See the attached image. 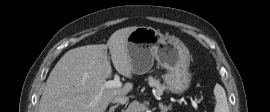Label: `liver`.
<instances>
[{"label":"liver","mask_w":270,"mask_h":112,"mask_svg":"<svg viewBox=\"0 0 270 112\" xmlns=\"http://www.w3.org/2000/svg\"><path fill=\"white\" fill-rule=\"evenodd\" d=\"M137 27L115 31L107 44L86 45L66 52L51 71L39 103V112H105L111 99L126 95L132 83L120 88H106L112 73L107 57L121 75L132 78L128 37Z\"/></svg>","instance_id":"obj_1"}]
</instances>
